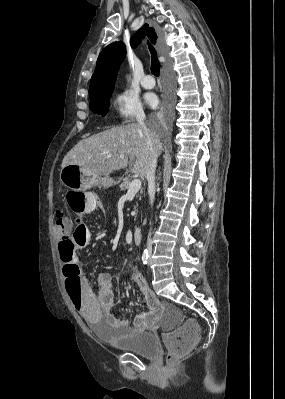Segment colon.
Returning a JSON list of instances; mask_svg holds the SVG:
<instances>
[{"mask_svg": "<svg viewBox=\"0 0 285 399\" xmlns=\"http://www.w3.org/2000/svg\"><path fill=\"white\" fill-rule=\"evenodd\" d=\"M67 202L76 218L70 223L71 231L68 237L63 238L59 243V255L61 261L65 264L64 273L76 270V254L91 238L87 225L82 220L83 210L87 202L85 193L69 192ZM63 215L57 219L60 226L67 222ZM66 289L75 304L79 303L80 287L79 284L72 281H66ZM200 337L199 326L192 320H188L179 325L172 331L164 334V340L168 346V359L175 360L194 347Z\"/></svg>", "mask_w": 285, "mask_h": 399, "instance_id": "1", "label": "colon"}]
</instances>
